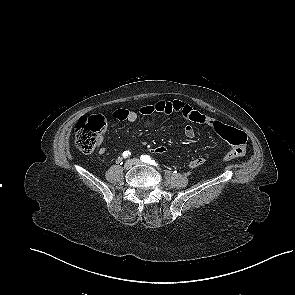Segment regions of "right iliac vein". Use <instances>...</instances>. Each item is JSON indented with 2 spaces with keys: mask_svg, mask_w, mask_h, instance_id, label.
Returning a JSON list of instances; mask_svg holds the SVG:
<instances>
[{
  "mask_svg": "<svg viewBox=\"0 0 295 295\" xmlns=\"http://www.w3.org/2000/svg\"><path fill=\"white\" fill-rule=\"evenodd\" d=\"M132 168V162L130 160L126 161L124 164L125 170H130Z\"/></svg>",
  "mask_w": 295,
  "mask_h": 295,
  "instance_id": "right-iliac-vein-1",
  "label": "right iliac vein"
}]
</instances>
